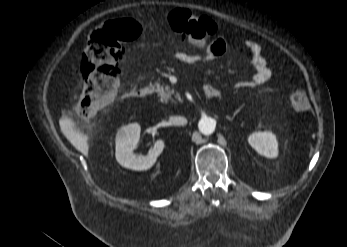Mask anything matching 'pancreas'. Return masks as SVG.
Wrapping results in <instances>:
<instances>
[{"instance_id":"1","label":"pancreas","mask_w":347,"mask_h":247,"mask_svg":"<svg viewBox=\"0 0 347 247\" xmlns=\"http://www.w3.org/2000/svg\"><path fill=\"white\" fill-rule=\"evenodd\" d=\"M153 89L156 93H158L161 102L167 103L169 100L173 101L172 95L175 94V91L173 89L171 90L169 86H163L159 82H155ZM175 97L181 101L178 94Z\"/></svg>"}]
</instances>
